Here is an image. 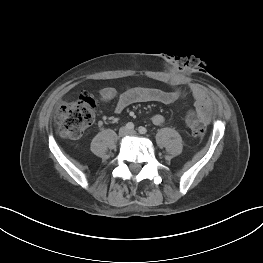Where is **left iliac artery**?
I'll return each mask as SVG.
<instances>
[{"instance_id":"1","label":"left iliac artery","mask_w":263,"mask_h":263,"mask_svg":"<svg viewBox=\"0 0 263 263\" xmlns=\"http://www.w3.org/2000/svg\"><path fill=\"white\" fill-rule=\"evenodd\" d=\"M138 131L140 134H146L147 133V129L145 127H139Z\"/></svg>"}]
</instances>
